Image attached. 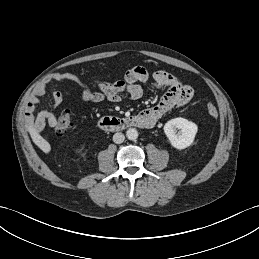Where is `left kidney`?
I'll return each instance as SVG.
<instances>
[{"label":"left kidney","mask_w":259,"mask_h":259,"mask_svg":"<svg viewBox=\"0 0 259 259\" xmlns=\"http://www.w3.org/2000/svg\"><path fill=\"white\" fill-rule=\"evenodd\" d=\"M177 129L180 130L178 133ZM197 131L198 126L194 122L181 117L171 119L164 125L167 138L171 145L178 150L192 145Z\"/></svg>","instance_id":"left-kidney-1"}]
</instances>
